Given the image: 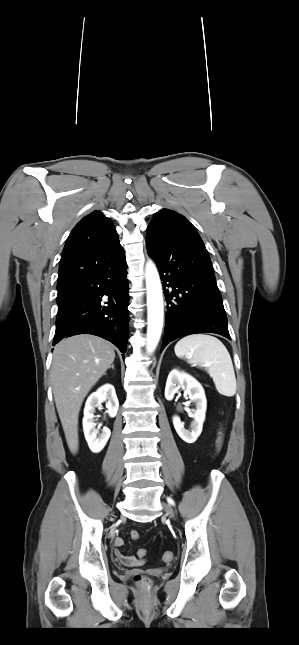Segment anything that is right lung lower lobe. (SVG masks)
Wrapping results in <instances>:
<instances>
[{"label": "right lung lower lobe", "mask_w": 299, "mask_h": 645, "mask_svg": "<svg viewBox=\"0 0 299 645\" xmlns=\"http://www.w3.org/2000/svg\"><path fill=\"white\" fill-rule=\"evenodd\" d=\"M66 291L58 304L53 345L64 337L92 334L112 342L125 353L129 321L125 256L119 262L85 276ZM104 295L108 296L105 305L102 302Z\"/></svg>", "instance_id": "1"}]
</instances>
